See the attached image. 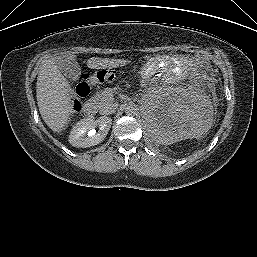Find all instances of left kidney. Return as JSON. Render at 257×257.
<instances>
[{"label": "left kidney", "instance_id": "left-kidney-1", "mask_svg": "<svg viewBox=\"0 0 257 257\" xmlns=\"http://www.w3.org/2000/svg\"><path fill=\"white\" fill-rule=\"evenodd\" d=\"M143 117L152 139L162 145L197 138L210 125L204 98L183 88L173 87L152 94L144 105Z\"/></svg>", "mask_w": 257, "mask_h": 257}]
</instances>
